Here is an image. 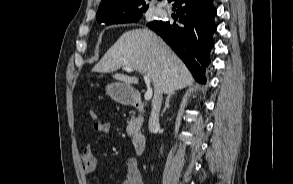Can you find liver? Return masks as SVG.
I'll return each instance as SVG.
<instances>
[{"label":"liver","mask_w":293,"mask_h":184,"mask_svg":"<svg viewBox=\"0 0 293 184\" xmlns=\"http://www.w3.org/2000/svg\"><path fill=\"white\" fill-rule=\"evenodd\" d=\"M125 66L150 78L154 98L162 93H174L193 83V77L184 63L158 35L147 28L123 33L92 71L113 73ZM113 78L127 84L138 83L136 77L120 73H115Z\"/></svg>","instance_id":"6515ba94"}]
</instances>
